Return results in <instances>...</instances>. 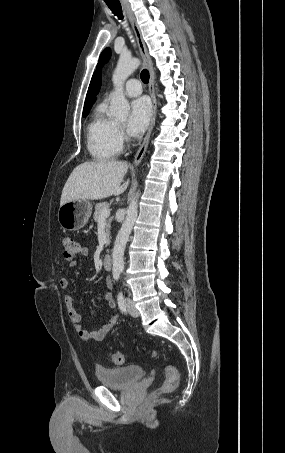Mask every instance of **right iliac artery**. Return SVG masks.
<instances>
[{"instance_id":"82829eb1","label":"right iliac artery","mask_w":285,"mask_h":453,"mask_svg":"<svg viewBox=\"0 0 285 453\" xmlns=\"http://www.w3.org/2000/svg\"><path fill=\"white\" fill-rule=\"evenodd\" d=\"M113 277L116 281H118L119 277H120V273H114Z\"/></svg>"}]
</instances>
